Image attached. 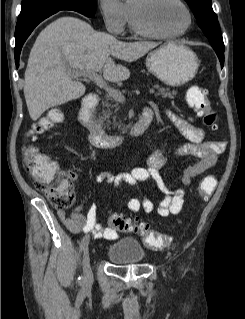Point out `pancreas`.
Here are the masks:
<instances>
[{"label": "pancreas", "mask_w": 245, "mask_h": 319, "mask_svg": "<svg viewBox=\"0 0 245 319\" xmlns=\"http://www.w3.org/2000/svg\"><path fill=\"white\" fill-rule=\"evenodd\" d=\"M158 88V92L156 93L157 96H162L163 98H173L174 93L170 91V88L160 87L159 85L156 86ZM126 93V91H123ZM114 109V111H113ZM119 110L118 101L112 98L110 95H107L105 101L102 102V112L100 114V120L107 124L110 123V117L113 118L114 127H118L122 132L125 131V126L120 124V122L116 121V112Z\"/></svg>", "instance_id": "1"}]
</instances>
